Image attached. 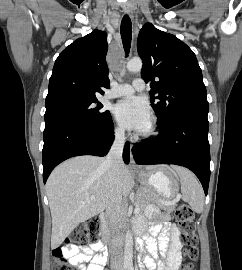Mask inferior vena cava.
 <instances>
[{"mask_svg": "<svg viewBox=\"0 0 242 270\" xmlns=\"http://www.w3.org/2000/svg\"><path fill=\"white\" fill-rule=\"evenodd\" d=\"M125 143V132L119 129L115 132V140L104 161L111 181L112 191L109 197L106 213L109 223L112 225L116 236L119 234V223L122 216V189L121 171L123 167L122 153ZM123 253L121 247L116 243L112 249V266L117 270H122Z\"/></svg>", "mask_w": 242, "mask_h": 270, "instance_id": "inferior-vena-cava-1", "label": "inferior vena cava"}]
</instances>
